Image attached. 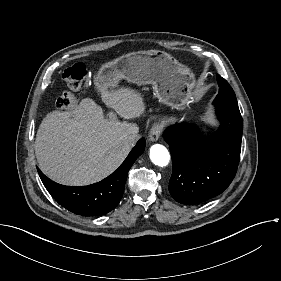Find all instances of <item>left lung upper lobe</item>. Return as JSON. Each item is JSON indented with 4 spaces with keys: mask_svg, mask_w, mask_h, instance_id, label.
Instances as JSON below:
<instances>
[{
    "mask_svg": "<svg viewBox=\"0 0 281 281\" xmlns=\"http://www.w3.org/2000/svg\"><path fill=\"white\" fill-rule=\"evenodd\" d=\"M217 81H218L220 89H219V93L216 96L214 102L230 101V102L237 103L235 93H234L233 89L231 88V86L228 84V82L224 78H222L220 75H217Z\"/></svg>",
    "mask_w": 281,
    "mask_h": 281,
    "instance_id": "1",
    "label": "left lung upper lobe"
}]
</instances>
